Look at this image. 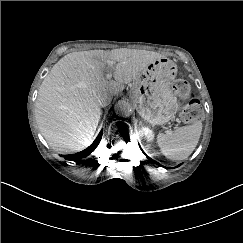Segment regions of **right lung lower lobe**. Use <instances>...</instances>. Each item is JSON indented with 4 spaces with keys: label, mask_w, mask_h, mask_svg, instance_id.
Here are the masks:
<instances>
[{
    "label": "right lung lower lobe",
    "mask_w": 243,
    "mask_h": 243,
    "mask_svg": "<svg viewBox=\"0 0 243 243\" xmlns=\"http://www.w3.org/2000/svg\"><path fill=\"white\" fill-rule=\"evenodd\" d=\"M102 133H103V131L101 130L99 135L95 139V141L88 148H86L85 150H83L81 152H78L76 154L66 155V156H64V158L66 160H72V161H75V162H82V161H84V159L88 155H90L94 151V149L97 147V145L99 144V142H100V140L102 138Z\"/></svg>",
    "instance_id": "obj_1"
}]
</instances>
